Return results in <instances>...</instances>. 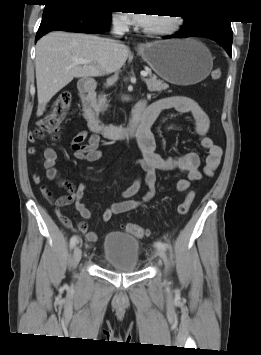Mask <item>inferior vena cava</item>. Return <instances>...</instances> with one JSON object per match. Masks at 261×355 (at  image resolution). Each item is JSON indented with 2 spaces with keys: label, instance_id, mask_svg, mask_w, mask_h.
Wrapping results in <instances>:
<instances>
[{
  "label": "inferior vena cava",
  "instance_id": "inferior-vena-cava-1",
  "mask_svg": "<svg viewBox=\"0 0 261 355\" xmlns=\"http://www.w3.org/2000/svg\"><path fill=\"white\" fill-rule=\"evenodd\" d=\"M113 31L112 33L117 36V37H122L125 32L129 31L128 25L126 21L120 17H113ZM108 44L113 50H117L120 46L121 43L117 40H109Z\"/></svg>",
  "mask_w": 261,
  "mask_h": 355
}]
</instances>
